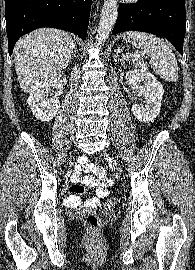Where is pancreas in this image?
<instances>
[{
  "label": "pancreas",
  "mask_w": 195,
  "mask_h": 270,
  "mask_svg": "<svg viewBox=\"0 0 195 270\" xmlns=\"http://www.w3.org/2000/svg\"><path fill=\"white\" fill-rule=\"evenodd\" d=\"M125 60L132 62L134 65H139V61L137 58H126Z\"/></svg>",
  "instance_id": "obj_1"
}]
</instances>
